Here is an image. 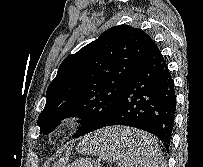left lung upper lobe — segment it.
<instances>
[{
    "label": "left lung upper lobe",
    "mask_w": 203,
    "mask_h": 167,
    "mask_svg": "<svg viewBox=\"0 0 203 167\" xmlns=\"http://www.w3.org/2000/svg\"><path fill=\"white\" fill-rule=\"evenodd\" d=\"M156 46L143 30L119 25L66 57L47 89L37 120L40 133L52 132L67 117L82 120L73 138L99 129L115 112L134 70Z\"/></svg>",
    "instance_id": "5c2ea615"
}]
</instances>
